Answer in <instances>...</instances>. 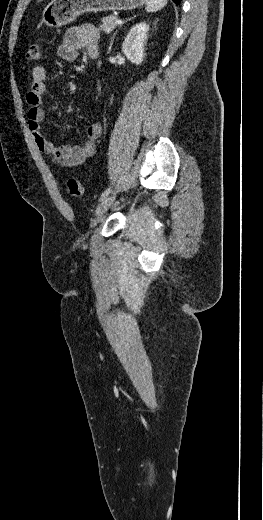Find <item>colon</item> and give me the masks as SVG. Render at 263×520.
Listing matches in <instances>:
<instances>
[{
  "label": "colon",
  "instance_id": "colon-1",
  "mask_svg": "<svg viewBox=\"0 0 263 520\" xmlns=\"http://www.w3.org/2000/svg\"><path fill=\"white\" fill-rule=\"evenodd\" d=\"M26 58L31 61L40 59V48L37 43H30L26 52ZM67 191L71 196H80L82 194V185L76 178L70 177L66 180Z\"/></svg>",
  "mask_w": 263,
  "mask_h": 520
}]
</instances>
